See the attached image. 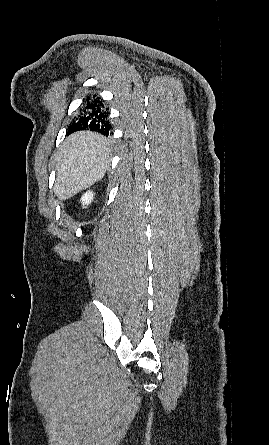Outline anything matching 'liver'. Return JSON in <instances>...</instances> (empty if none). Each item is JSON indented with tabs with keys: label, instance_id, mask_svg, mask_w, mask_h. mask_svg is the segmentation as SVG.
Segmentation results:
<instances>
[{
	"label": "liver",
	"instance_id": "1",
	"mask_svg": "<svg viewBox=\"0 0 269 445\" xmlns=\"http://www.w3.org/2000/svg\"><path fill=\"white\" fill-rule=\"evenodd\" d=\"M109 141L98 133L77 132L62 146L56 165V196L66 200L101 180L109 167Z\"/></svg>",
	"mask_w": 269,
	"mask_h": 445
}]
</instances>
